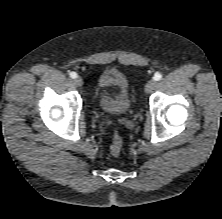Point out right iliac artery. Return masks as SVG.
<instances>
[{"instance_id": "right-iliac-artery-1", "label": "right iliac artery", "mask_w": 222, "mask_h": 219, "mask_svg": "<svg viewBox=\"0 0 222 219\" xmlns=\"http://www.w3.org/2000/svg\"><path fill=\"white\" fill-rule=\"evenodd\" d=\"M70 77H71L72 79H75V78L77 77V74H76L75 72H71V73H70Z\"/></svg>"}]
</instances>
